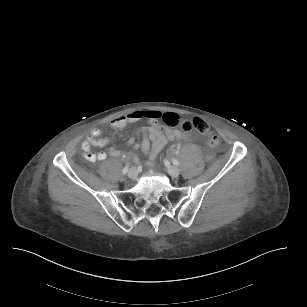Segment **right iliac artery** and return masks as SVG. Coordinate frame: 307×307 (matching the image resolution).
Segmentation results:
<instances>
[{"label": "right iliac artery", "instance_id": "right-iliac-artery-1", "mask_svg": "<svg viewBox=\"0 0 307 307\" xmlns=\"http://www.w3.org/2000/svg\"><path fill=\"white\" fill-rule=\"evenodd\" d=\"M129 170V166H125L123 169H122V173L123 174H126Z\"/></svg>", "mask_w": 307, "mask_h": 307}]
</instances>
